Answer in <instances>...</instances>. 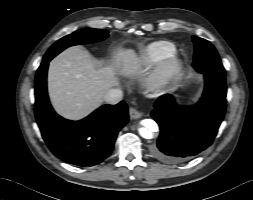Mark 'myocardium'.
I'll use <instances>...</instances> for the list:
<instances>
[{
  "instance_id": "myocardium-1",
  "label": "myocardium",
  "mask_w": 253,
  "mask_h": 200,
  "mask_svg": "<svg viewBox=\"0 0 253 200\" xmlns=\"http://www.w3.org/2000/svg\"><path fill=\"white\" fill-rule=\"evenodd\" d=\"M183 62L175 53L164 57L152 72L148 86L152 91H159L167 86L181 71Z\"/></svg>"
}]
</instances>
